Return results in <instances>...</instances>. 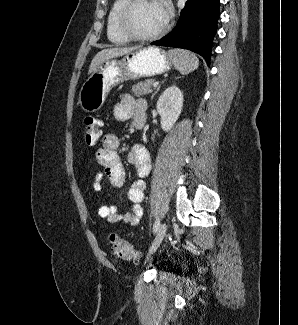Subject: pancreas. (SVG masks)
<instances>
[{
	"label": "pancreas",
	"mask_w": 298,
	"mask_h": 325,
	"mask_svg": "<svg viewBox=\"0 0 298 325\" xmlns=\"http://www.w3.org/2000/svg\"><path fill=\"white\" fill-rule=\"evenodd\" d=\"M152 82H155L154 78H146V80H140L133 86H130L131 94L133 96H144V94H150L152 92Z\"/></svg>",
	"instance_id": "obj_1"
}]
</instances>
